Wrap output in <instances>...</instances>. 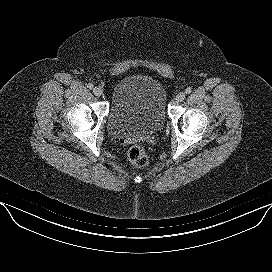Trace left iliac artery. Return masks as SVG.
<instances>
[{"label":"left iliac artery","mask_w":272,"mask_h":272,"mask_svg":"<svg viewBox=\"0 0 272 272\" xmlns=\"http://www.w3.org/2000/svg\"><path fill=\"white\" fill-rule=\"evenodd\" d=\"M191 91H192V89H191L190 87H187V88L185 89V93H186V94H190Z\"/></svg>","instance_id":"1"}]
</instances>
